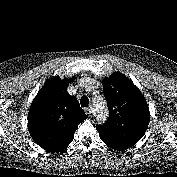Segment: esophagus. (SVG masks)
<instances>
[{
  "label": "esophagus",
  "instance_id": "34e87169",
  "mask_svg": "<svg viewBox=\"0 0 177 177\" xmlns=\"http://www.w3.org/2000/svg\"><path fill=\"white\" fill-rule=\"evenodd\" d=\"M84 111H85V113L88 114V115H91V114H92V109L89 108V107H86V108L84 109Z\"/></svg>",
  "mask_w": 177,
  "mask_h": 177
}]
</instances>
